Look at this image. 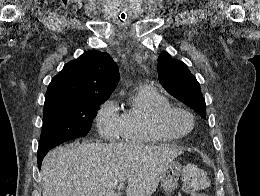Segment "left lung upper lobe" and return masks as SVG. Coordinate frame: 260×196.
Wrapping results in <instances>:
<instances>
[{"instance_id": "1", "label": "left lung upper lobe", "mask_w": 260, "mask_h": 196, "mask_svg": "<svg viewBox=\"0 0 260 196\" xmlns=\"http://www.w3.org/2000/svg\"><path fill=\"white\" fill-rule=\"evenodd\" d=\"M158 74L160 83L169 94L205 118V100L200 85L183 62L163 52L159 56Z\"/></svg>"}]
</instances>
